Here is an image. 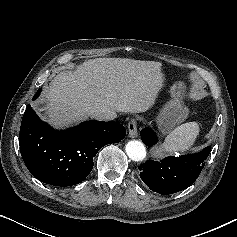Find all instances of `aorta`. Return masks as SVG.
I'll list each match as a JSON object with an SVG mask.
<instances>
[{"label": "aorta", "instance_id": "aorta-1", "mask_svg": "<svg viewBox=\"0 0 237 237\" xmlns=\"http://www.w3.org/2000/svg\"><path fill=\"white\" fill-rule=\"evenodd\" d=\"M128 157L133 161H142L146 157V149L142 142L131 140L125 146Z\"/></svg>", "mask_w": 237, "mask_h": 237}]
</instances>
